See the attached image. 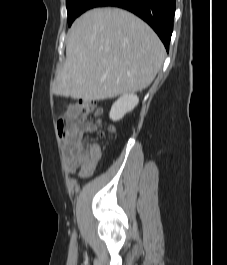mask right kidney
<instances>
[{
	"mask_svg": "<svg viewBox=\"0 0 227 265\" xmlns=\"http://www.w3.org/2000/svg\"><path fill=\"white\" fill-rule=\"evenodd\" d=\"M138 103L139 98L137 95L133 93L123 95L113 104L110 111V118L113 121L122 119L123 116L132 111Z\"/></svg>",
	"mask_w": 227,
	"mask_h": 265,
	"instance_id": "ca27d5eb",
	"label": "right kidney"
}]
</instances>
